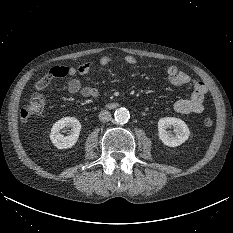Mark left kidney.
<instances>
[{
	"label": "left kidney",
	"instance_id": "5707ae66",
	"mask_svg": "<svg viewBox=\"0 0 233 233\" xmlns=\"http://www.w3.org/2000/svg\"><path fill=\"white\" fill-rule=\"evenodd\" d=\"M173 126L175 134L166 129ZM158 135L160 140L169 147H176L188 140L190 131L186 123L175 117H164L158 121Z\"/></svg>",
	"mask_w": 233,
	"mask_h": 233
}]
</instances>
